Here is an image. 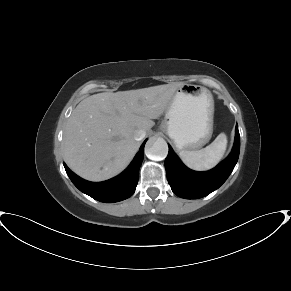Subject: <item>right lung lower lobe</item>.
I'll use <instances>...</instances> for the list:
<instances>
[{"label": "right lung lower lobe", "instance_id": "obj_1", "mask_svg": "<svg viewBox=\"0 0 291 291\" xmlns=\"http://www.w3.org/2000/svg\"><path fill=\"white\" fill-rule=\"evenodd\" d=\"M145 143L146 140L141 145L139 152L128 168L110 180L98 183L86 181L70 171L64 163L66 173L80 191L93 199L105 203L122 201L129 198L135 192L139 169L143 161Z\"/></svg>", "mask_w": 291, "mask_h": 291}]
</instances>
